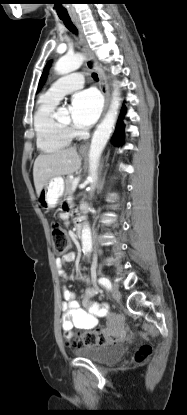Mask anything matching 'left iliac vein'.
I'll return each instance as SVG.
<instances>
[{
	"instance_id": "left-iliac-vein-1",
	"label": "left iliac vein",
	"mask_w": 187,
	"mask_h": 415,
	"mask_svg": "<svg viewBox=\"0 0 187 415\" xmlns=\"http://www.w3.org/2000/svg\"><path fill=\"white\" fill-rule=\"evenodd\" d=\"M111 293H112V297H113L116 301H120V299H121V293H120V290H119V288H118V286H117V285H114V286H113V288H112V290H111Z\"/></svg>"
}]
</instances>
